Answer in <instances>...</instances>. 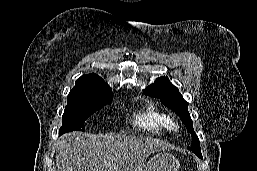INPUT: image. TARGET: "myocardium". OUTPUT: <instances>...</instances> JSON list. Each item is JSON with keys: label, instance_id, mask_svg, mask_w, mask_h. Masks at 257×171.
Wrapping results in <instances>:
<instances>
[{"label": "myocardium", "instance_id": "1", "mask_svg": "<svg viewBox=\"0 0 257 171\" xmlns=\"http://www.w3.org/2000/svg\"><path fill=\"white\" fill-rule=\"evenodd\" d=\"M180 128L179 123L175 120L170 121V129L172 131H178Z\"/></svg>", "mask_w": 257, "mask_h": 171}]
</instances>
